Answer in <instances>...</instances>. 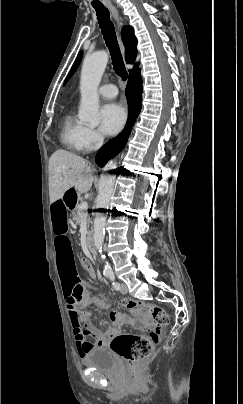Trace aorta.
Wrapping results in <instances>:
<instances>
[{
  "mask_svg": "<svg viewBox=\"0 0 243 404\" xmlns=\"http://www.w3.org/2000/svg\"><path fill=\"white\" fill-rule=\"evenodd\" d=\"M109 56L105 50L94 52L92 56L85 58L82 64L80 90L81 102L79 106V120L86 122L87 126H99V94L97 92L101 78L105 72L108 64ZM117 163L115 161H108L106 166L102 167L99 194L97 196V204L94 212V230L93 242L96 250L102 252V246L105 236V222L108 217V209L111 196L114 190L115 182V169ZM105 272H111L110 266L106 264Z\"/></svg>",
  "mask_w": 243,
  "mask_h": 404,
  "instance_id": "obj_1",
  "label": "aorta"
}]
</instances>
